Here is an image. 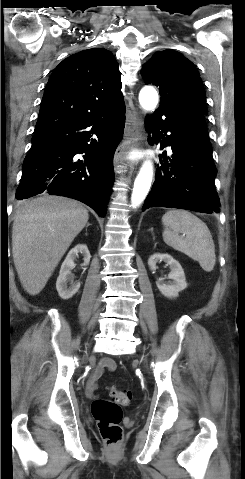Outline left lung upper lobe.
I'll return each instance as SVG.
<instances>
[{"instance_id":"left-lung-upper-lobe-1","label":"left lung upper lobe","mask_w":245,"mask_h":479,"mask_svg":"<svg viewBox=\"0 0 245 479\" xmlns=\"http://www.w3.org/2000/svg\"><path fill=\"white\" fill-rule=\"evenodd\" d=\"M142 76L146 84L159 87L160 106L207 113L202 80L194 64L182 54L171 49L156 52L143 66Z\"/></svg>"}]
</instances>
